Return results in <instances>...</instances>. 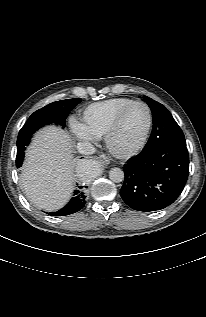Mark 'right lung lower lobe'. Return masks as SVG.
<instances>
[{
	"mask_svg": "<svg viewBox=\"0 0 206 317\" xmlns=\"http://www.w3.org/2000/svg\"><path fill=\"white\" fill-rule=\"evenodd\" d=\"M85 194L82 191L75 190L74 197L70 200V202L62 209L57 212H50L51 216H66L78 212L81 210L86 204Z\"/></svg>",
	"mask_w": 206,
	"mask_h": 317,
	"instance_id": "98d812e1",
	"label": "right lung lower lobe"
}]
</instances>
